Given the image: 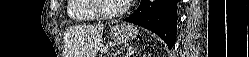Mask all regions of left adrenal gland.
<instances>
[{
    "label": "left adrenal gland",
    "mask_w": 249,
    "mask_h": 57,
    "mask_svg": "<svg viewBox=\"0 0 249 57\" xmlns=\"http://www.w3.org/2000/svg\"><path fill=\"white\" fill-rule=\"evenodd\" d=\"M135 51H136L135 47H133L132 45L129 46L125 57H130L131 55H133V53H135Z\"/></svg>",
    "instance_id": "obj_1"
}]
</instances>
